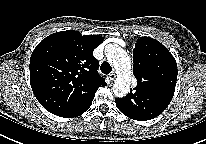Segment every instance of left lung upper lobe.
<instances>
[{"mask_svg":"<svg viewBox=\"0 0 206 144\" xmlns=\"http://www.w3.org/2000/svg\"><path fill=\"white\" fill-rule=\"evenodd\" d=\"M134 90L122 98L132 116L141 111L142 100L156 101L166 108L175 92L177 64L169 50L159 41L140 37L133 49Z\"/></svg>","mask_w":206,"mask_h":144,"instance_id":"left-lung-upper-lobe-1","label":"left lung upper lobe"}]
</instances>
